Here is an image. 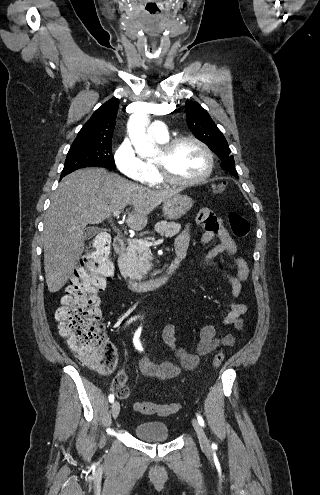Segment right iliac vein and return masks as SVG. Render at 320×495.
<instances>
[{
    "instance_id": "63e3f726",
    "label": "right iliac vein",
    "mask_w": 320,
    "mask_h": 495,
    "mask_svg": "<svg viewBox=\"0 0 320 495\" xmlns=\"http://www.w3.org/2000/svg\"><path fill=\"white\" fill-rule=\"evenodd\" d=\"M112 416L114 419H116L120 413V404L119 402L115 401L113 404H112Z\"/></svg>"
}]
</instances>
